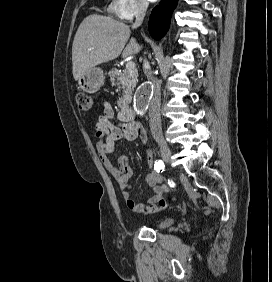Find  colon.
Returning a JSON list of instances; mask_svg holds the SVG:
<instances>
[{
  "label": "colon",
  "mask_w": 272,
  "mask_h": 282,
  "mask_svg": "<svg viewBox=\"0 0 272 282\" xmlns=\"http://www.w3.org/2000/svg\"><path fill=\"white\" fill-rule=\"evenodd\" d=\"M76 103L77 107L82 110V111H89L93 107V99L91 98L90 95L84 93V92H79L76 95ZM169 201L167 199H161L158 202V205L156 204H148L143 208V212L146 214H150L153 212H156L160 209H164L168 206Z\"/></svg>",
  "instance_id": "obj_1"
}]
</instances>
